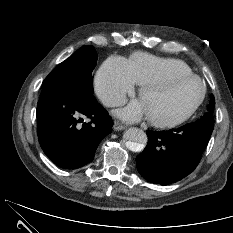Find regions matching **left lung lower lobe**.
<instances>
[{
	"mask_svg": "<svg viewBox=\"0 0 233 233\" xmlns=\"http://www.w3.org/2000/svg\"><path fill=\"white\" fill-rule=\"evenodd\" d=\"M212 131L213 128L195 122L172 131L147 132V146L136 157L138 172L155 184L181 180L199 164Z\"/></svg>",
	"mask_w": 233,
	"mask_h": 233,
	"instance_id": "left-lung-lower-lobe-1",
	"label": "left lung lower lobe"
}]
</instances>
